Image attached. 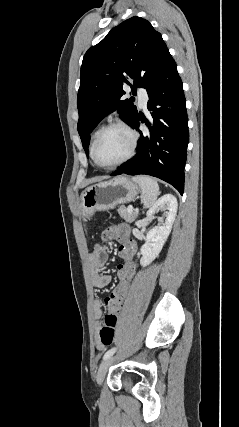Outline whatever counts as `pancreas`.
<instances>
[{
  "label": "pancreas",
  "mask_w": 239,
  "mask_h": 427,
  "mask_svg": "<svg viewBox=\"0 0 239 427\" xmlns=\"http://www.w3.org/2000/svg\"><path fill=\"white\" fill-rule=\"evenodd\" d=\"M118 213L126 222L129 223H132L137 218L136 211L133 210V212H128V208L123 205L118 208Z\"/></svg>",
  "instance_id": "cf45deb5"
}]
</instances>
